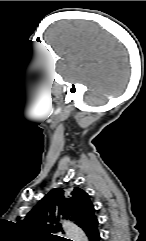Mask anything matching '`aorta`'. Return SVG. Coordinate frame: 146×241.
<instances>
[{"instance_id":"obj_1","label":"aorta","mask_w":146,"mask_h":241,"mask_svg":"<svg viewBox=\"0 0 146 241\" xmlns=\"http://www.w3.org/2000/svg\"><path fill=\"white\" fill-rule=\"evenodd\" d=\"M63 228L66 231L67 236L73 241H88L83 231L69 221L63 222Z\"/></svg>"}]
</instances>
